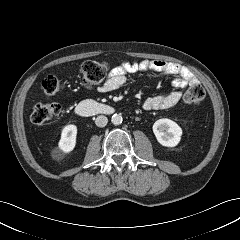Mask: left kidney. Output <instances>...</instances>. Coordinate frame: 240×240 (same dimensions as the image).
Listing matches in <instances>:
<instances>
[{"instance_id":"obj_1","label":"left kidney","mask_w":240,"mask_h":240,"mask_svg":"<svg viewBox=\"0 0 240 240\" xmlns=\"http://www.w3.org/2000/svg\"><path fill=\"white\" fill-rule=\"evenodd\" d=\"M153 133L161 145L175 147L181 140L182 129L176 122L163 118L153 124Z\"/></svg>"}]
</instances>
